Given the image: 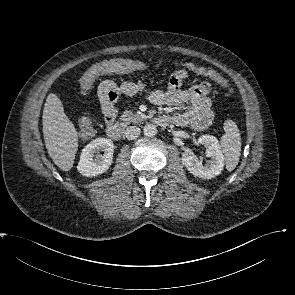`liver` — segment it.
<instances>
[{
    "mask_svg": "<svg viewBox=\"0 0 295 295\" xmlns=\"http://www.w3.org/2000/svg\"><path fill=\"white\" fill-rule=\"evenodd\" d=\"M42 125L49 156L57 167L69 171L73 167L78 150V133L65 114L61 100L54 93H50L46 98Z\"/></svg>",
    "mask_w": 295,
    "mask_h": 295,
    "instance_id": "obj_1",
    "label": "liver"
}]
</instances>
